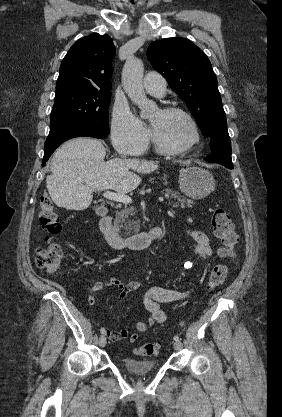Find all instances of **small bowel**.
<instances>
[{"label": "small bowel", "instance_id": "obj_1", "mask_svg": "<svg viewBox=\"0 0 282 417\" xmlns=\"http://www.w3.org/2000/svg\"><path fill=\"white\" fill-rule=\"evenodd\" d=\"M186 234L196 244L194 253L197 258L205 259L212 255L213 251L210 246V240L205 232L198 229H188ZM187 266H191V264L188 263ZM110 287H116L120 291L121 298H124L129 293L140 290L143 284L139 281L122 282L117 278L97 281L89 289L88 305H94L97 297ZM191 295L192 292L190 290L151 286L146 289L143 296V304L149 313V318L146 321H139L137 323V330L133 333H130L127 328H121L119 330L107 329L106 335L110 340L115 342H121L128 338L131 343H134L149 327L155 324H162L166 321L167 315L160 308V304L185 301Z\"/></svg>", "mask_w": 282, "mask_h": 417}]
</instances>
